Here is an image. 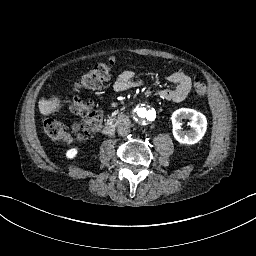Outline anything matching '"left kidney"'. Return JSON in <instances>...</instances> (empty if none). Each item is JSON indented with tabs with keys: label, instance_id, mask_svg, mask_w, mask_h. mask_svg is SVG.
I'll return each instance as SVG.
<instances>
[{
	"label": "left kidney",
	"instance_id": "obj_1",
	"mask_svg": "<svg viewBox=\"0 0 256 256\" xmlns=\"http://www.w3.org/2000/svg\"><path fill=\"white\" fill-rule=\"evenodd\" d=\"M182 119H190L191 130L188 133L182 131ZM172 134L180 144H197L206 134L207 118L201 112L190 108H181L173 112L171 116Z\"/></svg>",
	"mask_w": 256,
	"mask_h": 256
}]
</instances>
